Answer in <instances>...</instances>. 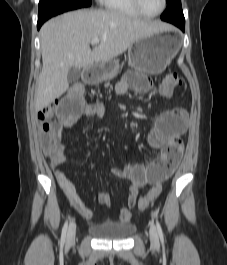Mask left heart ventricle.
Here are the masks:
<instances>
[{"label": "left heart ventricle", "mask_w": 227, "mask_h": 265, "mask_svg": "<svg viewBox=\"0 0 227 265\" xmlns=\"http://www.w3.org/2000/svg\"><path fill=\"white\" fill-rule=\"evenodd\" d=\"M141 7L148 14L157 13L162 7V0H140Z\"/></svg>", "instance_id": "left-heart-ventricle-1"}]
</instances>
